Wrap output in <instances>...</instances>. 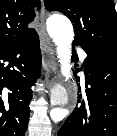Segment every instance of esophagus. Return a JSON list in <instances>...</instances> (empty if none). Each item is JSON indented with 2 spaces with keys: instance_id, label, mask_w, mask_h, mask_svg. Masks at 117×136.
<instances>
[{
  "instance_id": "1",
  "label": "esophagus",
  "mask_w": 117,
  "mask_h": 136,
  "mask_svg": "<svg viewBox=\"0 0 117 136\" xmlns=\"http://www.w3.org/2000/svg\"><path fill=\"white\" fill-rule=\"evenodd\" d=\"M45 9L42 7L39 16V37L40 46L43 54V67L47 73L55 72L57 70L56 61L54 56V49L50 39L45 30Z\"/></svg>"
}]
</instances>
